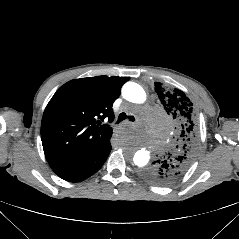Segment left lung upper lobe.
I'll return each mask as SVG.
<instances>
[{
  "mask_svg": "<svg viewBox=\"0 0 239 239\" xmlns=\"http://www.w3.org/2000/svg\"><path fill=\"white\" fill-rule=\"evenodd\" d=\"M155 91L166 113L178 129L175 146L161 160L142 172L144 178L157 185H170L187 172L198 148V126L194 106L185 93L155 82Z\"/></svg>",
  "mask_w": 239,
  "mask_h": 239,
  "instance_id": "5c2ea615",
  "label": "left lung upper lobe"
}]
</instances>
